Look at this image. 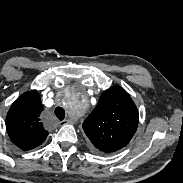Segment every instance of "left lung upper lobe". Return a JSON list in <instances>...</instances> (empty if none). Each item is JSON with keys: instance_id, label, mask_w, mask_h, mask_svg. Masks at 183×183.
Instances as JSON below:
<instances>
[{"instance_id": "obj_1", "label": "left lung upper lobe", "mask_w": 183, "mask_h": 183, "mask_svg": "<svg viewBox=\"0 0 183 183\" xmlns=\"http://www.w3.org/2000/svg\"><path fill=\"white\" fill-rule=\"evenodd\" d=\"M137 107L124 89L116 85L101 95L97 106L83 123L92 144L111 153L125 147L136 132Z\"/></svg>"}]
</instances>
